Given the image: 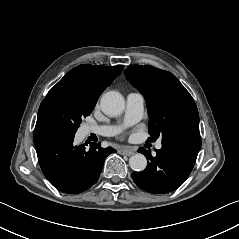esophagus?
Here are the masks:
<instances>
[{"label": "esophagus", "instance_id": "esophagus-1", "mask_svg": "<svg viewBox=\"0 0 239 239\" xmlns=\"http://www.w3.org/2000/svg\"><path fill=\"white\" fill-rule=\"evenodd\" d=\"M120 153L122 155H126V156H131L134 154V152L132 150H122V151H120Z\"/></svg>", "mask_w": 239, "mask_h": 239}]
</instances>
